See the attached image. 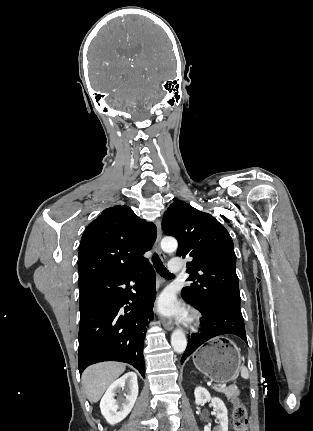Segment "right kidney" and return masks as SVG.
<instances>
[{"label": "right kidney", "mask_w": 313, "mask_h": 431, "mask_svg": "<svg viewBox=\"0 0 313 431\" xmlns=\"http://www.w3.org/2000/svg\"><path fill=\"white\" fill-rule=\"evenodd\" d=\"M117 394L118 397L115 399ZM137 396V375L128 372L108 387L100 402L102 415L112 425L122 421L131 412Z\"/></svg>", "instance_id": "ca27d5eb"}]
</instances>
